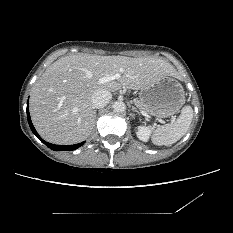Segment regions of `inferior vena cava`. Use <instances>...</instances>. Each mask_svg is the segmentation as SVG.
Wrapping results in <instances>:
<instances>
[{
  "instance_id": "inferior-vena-cava-1",
  "label": "inferior vena cava",
  "mask_w": 233,
  "mask_h": 233,
  "mask_svg": "<svg viewBox=\"0 0 233 233\" xmlns=\"http://www.w3.org/2000/svg\"><path fill=\"white\" fill-rule=\"evenodd\" d=\"M112 98L110 91L106 89H100L96 91L91 97V103L93 108L105 107Z\"/></svg>"
}]
</instances>
